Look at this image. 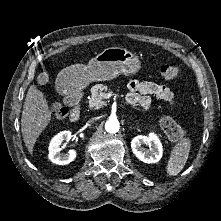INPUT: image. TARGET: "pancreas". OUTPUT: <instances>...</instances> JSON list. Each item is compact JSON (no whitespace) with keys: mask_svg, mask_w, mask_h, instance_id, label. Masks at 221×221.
I'll list each match as a JSON object with an SVG mask.
<instances>
[{"mask_svg":"<svg viewBox=\"0 0 221 221\" xmlns=\"http://www.w3.org/2000/svg\"><path fill=\"white\" fill-rule=\"evenodd\" d=\"M109 91L108 86L103 84H96L91 88V95L89 99V107L100 109L106 105L104 101L105 93Z\"/></svg>","mask_w":221,"mask_h":221,"instance_id":"obj_1","label":"pancreas"}]
</instances>
